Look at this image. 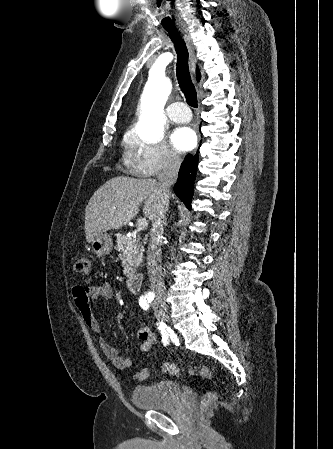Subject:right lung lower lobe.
Here are the masks:
<instances>
[{
    "mask_svg": "<svg viewBox=\"0 0 333 449\" xmlns=\"http://www.w3.org/2000/svg\"><path fill=\"white\" fill-rule=\"evenodd\" d=\"M198 155L188 154L181 164L178 180L174 187L176 195L191 209L193 185L196 178Z\"/></svg>",
    "mask_w": 333,
    "mask_h": 449,
    "instance_id": "obj_1",
    "label": "right lung lower lobe"
}]
</instances>
